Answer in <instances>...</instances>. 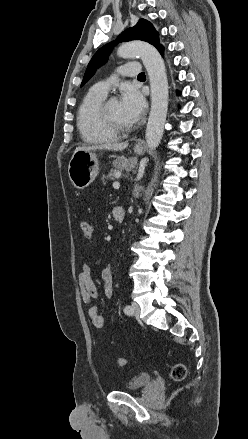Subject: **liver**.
<instances>
[{"label": "liver", "instance_id": "liver-1", "mask_svg": "<svg viewBox=\"0 0 248 439\" xmlns=\"http://www.w3.org/2000/svg\"><path fill=\"white\" fill-rule=\"evenodd\" d=\"M128 147V142H115V143H105L96 146H79L75 149L76 151L85 150V151H93V150H112V151H122Z\"/></svg>", "mask_w": 248, "mask_h": 439}]
</instances>
